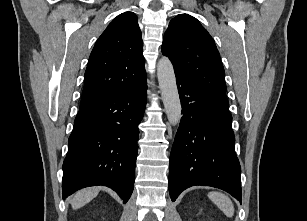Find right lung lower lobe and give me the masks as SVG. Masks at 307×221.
I'll use <instances>...</instances> for the list:
<instances>
[{"mask_svg": "<svg viewBox=\"0 0 307 221\" xmlns=\"http://www.w3.org/2000/svg\"><path fill=\"white\" fill-rule=\"evenodd\" d=\"M146 90L145 79L128 91L79 109L63 163V199L81 188L103 185L116 191L123 203L129 200Z\"/></svg>", "mask_w": 307, "mask_h": 221, "instance_id": "98d812e1", "label": "right lung lower lobe"}]
</instances>
